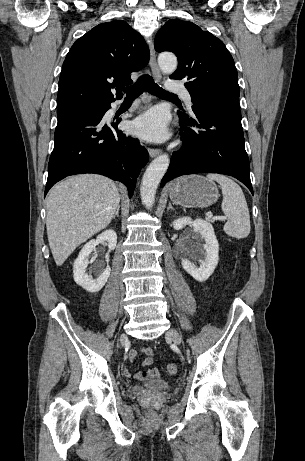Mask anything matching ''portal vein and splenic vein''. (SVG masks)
<instances>
[{"mask_svg": "<svg viewBox=\"0 0 305 461\" xmlns=\"http://www.w3.org/2000/svg\"><path fill=\"white\" fill-rule=\"evenodd\" d=\"M208 219L209 220H220V221H225L226 220V217L224 216H212L211 214L208 215Z\"/></svg>", "mask_w": 305, "mask_h": 461, "instance_id": "18ae733b", "label": "portal vein and splenic vein"}]
</instances>
